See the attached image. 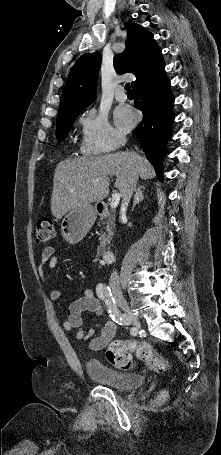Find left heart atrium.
<instances>
[{
	"instance_id": "obj_1",
	"label": "left heart atrium",
	"mask_w": 221,
	"mask_h": 455,
	"mask_svg": "<svg viewBox=\"0 0 221 455\" xmlns=\"http://www.w3.org/2000/svg\"><path fill=\"white\" fill-rule=\"evenodd\" d=\"M114 117L116 124L124 130L130 129L136 121V116L129 107H118Z\"/></svg>"
}]
</instances>
